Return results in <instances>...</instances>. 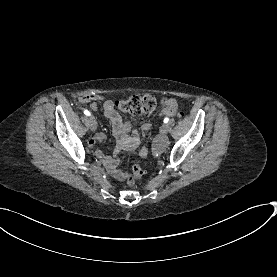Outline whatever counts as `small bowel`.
<instances>
[{
	"label": "small bowel",
	"mask_w": 277,
	"mask_h": 277,
	"mask_svg": "<svg viewBox=\"0 0 277 277\" xmlns=\"http://www.w3.org/2000/svg\"><path fill=\"white\" fill-rule=\"evenodd\" d=\"M80 100H81V98H80ZM90 100L104 102L103 103V114L110 121L112 130L118 140L116 153H119L122 150L135 149L138 146V144L140 143L141 138L144 137V134L151 128V125L149 123H144L141 126V135L138 131H131V124L129 122H124L122 120L120 114L116 110L115 103L112 100H106L105 95H100V94H96V93H91L89 99L84 102H88ZM176 108H177L176 100L173 98L167 99L166 107L163 110V115L172 116L175 113ZM91 109L97 110L98 104L92 103ZM95 138L97 140L104 141V140H106L107 135H106V133L101 132V133H97L95 135ZM89 145L95 151L97 157L104 159V161L108 164V166L111 167L112 170H114V175L118 180L125 179V177H126L125 173L120 169H116V166L118 164L116 159H118V161H122V158H119V156H115V158L105 157L101 151L96 149L97 146H96L95 139H92L89 142ZM141 155L143 157L147 156V149L145 147H142Z\"/></svg>",
	"instance_id": "small-bowel-1"
}]
</instances>
